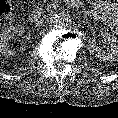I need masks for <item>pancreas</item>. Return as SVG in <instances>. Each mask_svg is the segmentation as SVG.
<instances>
[{
	"mask_svg": "<svg viewBox=\"0 0 118 118\" xmlns=\"http://www.w3.org/2000/svg\"><path fill=\"white\" fill-rule=\"evenodd\" d=\"M67 1H69V0H67ZM53 6L52 5H49V9H51Z\"/></svg>",
	"mask_w": 118,
	"mask_h": 118,
	"instance_id": "pancreas-1",
	"label": "pancreas"
}]
</instances>
